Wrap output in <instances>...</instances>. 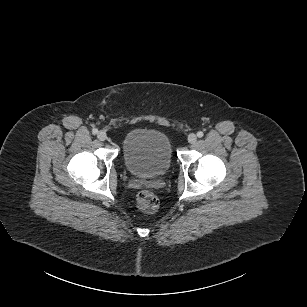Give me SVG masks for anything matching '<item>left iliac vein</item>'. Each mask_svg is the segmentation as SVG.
<instances>
[{"label":"left iliac vein","instance_id":"1","mask_svg":"<svg viewBox=\"0 0 307 307\" xmlns=\"http://www.w3.org/2000/svg\"><path fill=\"white\" fill-rule=\"evenodd\" d=\"M196 140H197V136L195 135V134H190L189 136H188V142L189 143H191V144H193V143H195L196 142Z\"/></svg>","mask_w":307,"mask_h":307}]
</instances>
